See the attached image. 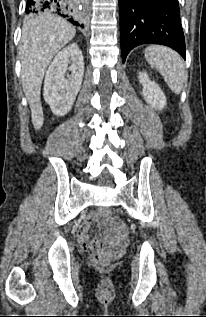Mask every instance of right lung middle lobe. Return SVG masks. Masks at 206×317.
I'll return each instance as SVG.
<instances>
[{
  "label": "right lung middle lobe",
  "instance_id": "1",
  "mask_svg": "<svg viewBox=\"0 0 206 317\" xmlns=\"http://www.w3.org/2000/svg\"><path fill=\"white\" fill-rule=\"evenodd\" d=\"M35 14H37V13H34L33 15H30V17H33Z\"/></svg>",
  "mask_w": 206,
  "mask_h": 317
}]
</instances>
